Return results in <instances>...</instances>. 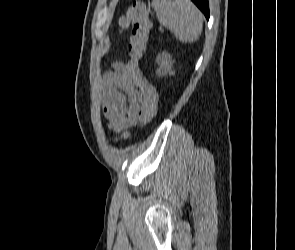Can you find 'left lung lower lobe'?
I'll return each mask as SVG.
<instances>
[{
    "label": "left lung lower lobe",
    "instance_id": "1",
    "mask_svg": "<svg viewBox=\"0 0 295 250\" xmlns=\"http://www.w3.org/2000/svg\"><path fill=\"white\" fill-rule=\"evenodd\" d=\"M196 6L204 13L207 19H209V5L208 0H192Z\"/></svg>",
    "mask_w": 295,
    "mask_h": 250
}]
</instances>
